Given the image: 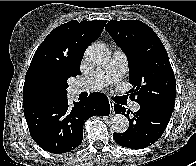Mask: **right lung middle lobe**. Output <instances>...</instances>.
I'll return each instance as SVG.
<instances>
[{
    "label": "right lung middle lobe",
    "mask_w": 196,
    "mask_h": 166,
    "mask_svg": "<svg viewBox=\"0 0 196 166\" xmlns=\"http://www.w3.org/2000/svg\"><path fill=\"white\" fill-rule=\"evenodd\" d=\"M34 99L40 102H47L57 96L53 93L52 86L47 82H38L33 89Z\"/></svg>",
    "instance_id": "right-lung-middle-lobe-1"
}]
</instances>
